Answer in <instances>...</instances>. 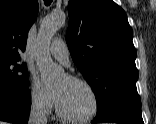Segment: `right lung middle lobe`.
<instances>
[{"label": "right lung middle lobe", "instance_id": "obj_1", "mask_svg": "<svg viewBox=\"0 0 156 124\" xmlns=\"http://www.w3.org/2000/svg\"><path fill=\"white\" fill-rule=\"evenodd\" d=\"M17 61H0V86L9 89L28 90L29 75L25 65Z\"/></svg>", "mask_w": 156, "mask_h": 124}]
</instances>
